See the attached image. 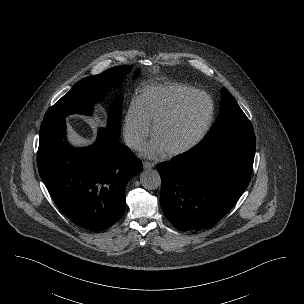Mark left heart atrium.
<instances>
[{
    "mask_svg": "<svg viewBox=\"0 0 304 304\" xmlns=\"http://www.w3.org/2000/svg\"><path fill=\"white\" fill-rule=\"evenodd\" d=\"M141 151L144 156L149 158H157L166 153V150L156 138L146 144Z\"/></svg>",
    "mask_w": 304,
    "mask_h": 304,
    "instance_id": "39dd6f15",
    "label": "left heart atrium"
}]
</instances>
